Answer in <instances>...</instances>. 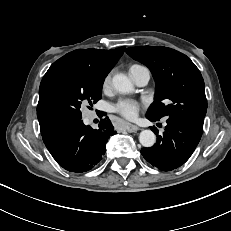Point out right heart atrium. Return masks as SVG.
Returning a JSON list of instances; mask_svg holds the SVG:
<instances>
[{
    "instance_id": "1",
    "label": "right heart atrium",
    "mask_w": 231,
    "mask_h": 231,
    "mask_svg": "<svg viewBox=\"0 0 231 231\" xmlns=\"http://www.w3.org/2000/svg\"><path fill=\"white\" fill-rule=\"evenodd\" d=\"M111 87V73L107 74L103 80L102 88L104 91H108Z\"/></svg>"
}]
</instances>
